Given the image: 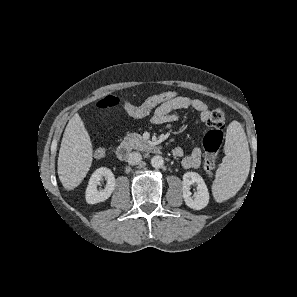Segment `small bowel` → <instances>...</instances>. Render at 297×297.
I'll use <instances>...</instances> for the list:
<instances>
[{
    "mask_svg": "<svg viewBox=\"0 0 297 297\" xmlns=\"http://www.w3.org/2000/svg\"><path fill=\"white\" fill-rule=\"evenodd\" d=\"M124 108L127 113L134 117H144L152 111L151 121L154 124L171 123L178 119L179 115L177 111L192 108L199 113L200 120L204 123L208 121L210 110L208 105L201 99L189 96H177L176 98L161 103L149 110H143L141 105H134L129 101H126ZM172 154L175 157L182 158V166L186 169H196L201 165V150L200 148H194L190 153L184 155V151L181 147H175L172 150Z\"/></svg>",
    "mask_w": 297,
    "mask_h": 297,
    "instance_id": "small-bowel-1",
    "label": "small bowel"
}]
</instances>
